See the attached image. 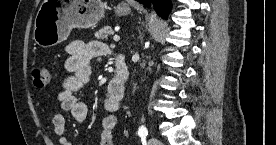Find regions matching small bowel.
I'll use <instances>...</instances> for the list:
<instances>
[{"label": "small bowel", "instance_id": "obj_1", "mask_svg": "<svg viewBox=\"0 0 276 145\" xmlns=\"http://www.w3.org/2000/svg\"><path fill=\"white\" fill-rule=\"evenodd\" d=\"M69 57L66 60V69L71 73L63 83V89L57 95V101L62 109L70 112L72 118L77 123H83L88 114L87 104L81 101L77 94L88 82L91 74L92 59L104 56L108 53L105 44L99 41H73L67 46ZM124 93L119 92L113 86L111 80L107 87V95L104 107L109 112L102 121L100 145H114L113 132L117 126V117L114 115L119 110ZM54 133L59 138L60 145H71L70 139L66 135L65 117L61 113L53 116Z\"/></svg>", "mask_w": 276, "mask_h": 145}]
</instances>
